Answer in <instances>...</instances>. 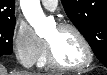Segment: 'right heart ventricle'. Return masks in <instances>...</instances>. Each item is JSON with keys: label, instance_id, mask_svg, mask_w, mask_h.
I'll use <instances>...</instances> for the list:
<instances>
[{"label": "right heart ventricle", "instance_id": "right-heart-ventricle-1", "mask_svg": "<svg viewBox=\"0 0 107 75\" xmlns=\"http://www.w3.org/2000/svg\"><path fill=\"white\" fill-rule=\"evenodd\" d=\"M38 64H39L40 66H45V65L48 64V63H47V53H46V49H45V52L43 53L40 61L38 62Z\"/></svg>", "mask_w": 107, "mask_h": 75}]
</instances>
